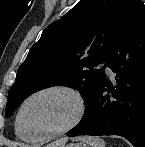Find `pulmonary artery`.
I'll return each instance as SVG.
<instances>
[{
    "mask_svg": "<svg viewBox=\"0 0 145 147\" xmlns=\"http://www.w3.org/2000/svg\"><path fill=\"white\" fill-rule=\"evenodd\" d=\"M101 66H105L106 69H107L108 71H110V68H109V66L107 65L106 62H102V63H101Z\"/></svg>",
    "mask_w": 145,
    "mask_h": 147,
    "instance_id": "obj_1",
    "label": "pulmonary artery"
}]
</instances>
